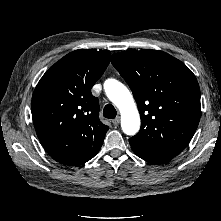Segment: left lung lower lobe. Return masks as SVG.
Returning <instances> with one entry per match:
<instances>
[{
  "label": "left lung lower lobe",
  "mask_w": 221,
  "mask_h": 221,
  "mask_svg": "<svg viewBox=\"0 0 221 221\" xmlns=\"http://www.w3.org/2000/svg\"><path fill=\"white\" fill-rule=\"evenodd\" d=\"M132 150L138 157L142 158L143 160L147 162L154 163V164H163L172 159V157H168L164 155L149 154V153H143L134 149Z\"/></svg>",
  "instance_id": "0a47b994"
}]
</instances>
